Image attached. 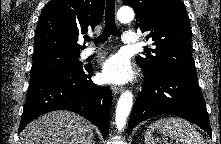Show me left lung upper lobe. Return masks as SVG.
Masks as SVG:
<instances>
[{"mask_svg": "<svg viewBox=\"0 0 221 144\" xmlns=\"http://www.w3.org/2000/svg\"><path fill=\"white\" fill-rule=\"evenodd\" d=\"M136 13V28L153 41L154 54L138 56L142 69H173L196 75L191 55L192 31L181 0H123Z\"/></svg>", "mask_w": 221, "mask_h": 144, "instance_id": "1", "label": "left lung upper lobe"}]
</instances>
